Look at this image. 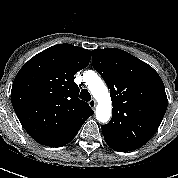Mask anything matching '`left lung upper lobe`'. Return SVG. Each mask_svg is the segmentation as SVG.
Returning a JSON list of instances; mask_svg holds the SVG:
<instances>
[{
  "label": "left lung upper lobe",
  "mask_w": 178,
  "mask_h": 178,
  "mask_svg": "<svg viewBox=\"0 0 178 178\" xmlns=\"http://www.w3.org/2000/svg\"><path fill=\"white\" fill-rule=\"evenodd\" d=\"M92 65L110 89L113 104L111 121L101 127L106 143L124 151L142 147L157 131L168 105L159 74L117 48L93 50Z\"/></svg>",
  "instance_id": "left-lung-upper-lobe-1"
}]
</instances>
